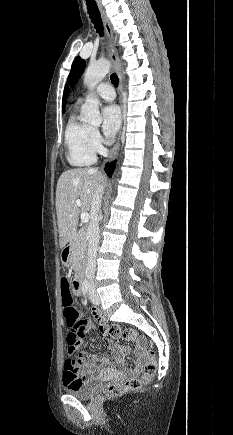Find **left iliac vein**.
<instances>
[{
	"label": "left iliac vein",
	"mask_w": 233,
	"mask_h": 435,
	"mask_svg": "<svg viewBox=\"0 0 233 435\" xmlns=\"http://www.w3.org/2000/svg\"><path fill=\"white\" fill-rule=\"evenodd\" d=\"M89 296H90V300L93 304L97 305L100 303L99 295L95 292V288L93 285H90Z\"/></svg>",
	"instance_id": "1"
}]
</instances>
